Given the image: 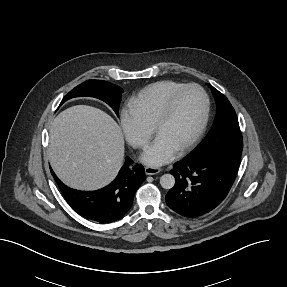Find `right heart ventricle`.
Wrapping results in <instances>:
<instances>
[{"label":"right heart ventricle","instance_id":"right-heart-ventricle-1","mask_svg":"<svg viewBox=\"0 0 287 287\" xmlns=\"http://www.w3.org/2000/svg\"><path fill=\"white\" fill-rule=\"evenodd\" d=\"M183 85L173 80L155 82L132 97L128 102V108L135 112L148 127L152 128L167 98Z\"/></svg>","mask_w":287,"mask_h":287}]
</instances>
